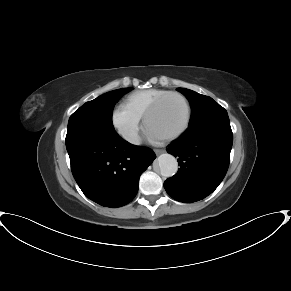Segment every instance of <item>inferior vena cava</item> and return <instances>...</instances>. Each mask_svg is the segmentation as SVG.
Masks as SVG:
<instances>
[{
  "instance_id": "602c4592",
  "label": "inferior vena cava",
  "mask_w": 291,
  "mask_h": 291,
  "mask_svg": "<svg viewBox=\"0 0 291 291\" xmlns=\"http://www.w3.org/2000/svg\"><path fill=\"white\" fill-rule=\"evenodd\" d=\"M131 142L133 144H140V140H139V137L136 135L132 138Z\"/></svg>"
}]
</instances>
